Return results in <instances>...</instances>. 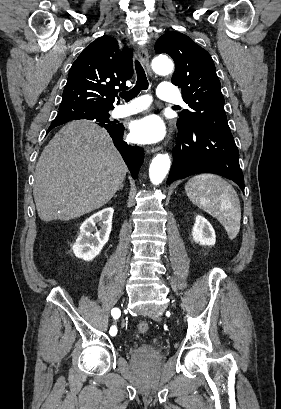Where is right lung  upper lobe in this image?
Masks as SVG:
<instances>
[{
	"label": "right lung upper lobe",
	"mask_w": 281,
	"mask_h": 409,
	"mask_svg": "<svg viewBox=\"0 0 281 409\" xmlns=\"http://www.w3.org/2000/svg\"><path fill=\"white\" fill-rule=\"evenodd\" d=\"M132 52L119 51L117 40L102 36L88 45L73 63L59 110L109 112L115 96L133 75ZM119 89H116L118 88Z\"/></svg>",
	"instance_id": "right-lung-upper-lobe-1"
}]
</instances>
